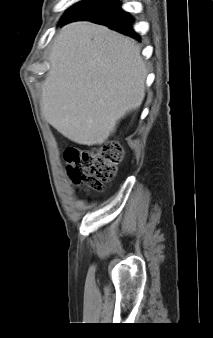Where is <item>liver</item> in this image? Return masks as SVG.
I'll return each mask as SVG.
<instances>
[{
    "label": "liver",
    "mask_w": 213,
    "mask_h": 338,
    "mask_svg": "<svg viewBox=\"0 0 213 338\" xmlns=\"http://www.w3.org/2000/svg\"><path fill=\"white\" fill-rule=\"evenodd\" d=\"M41 88L46 121L69 140L101 145L145 97L147 69L135 42L90 22L54 39Z\"/></svg>",
    "instance_id": "obj_1"
}]
</instances>
